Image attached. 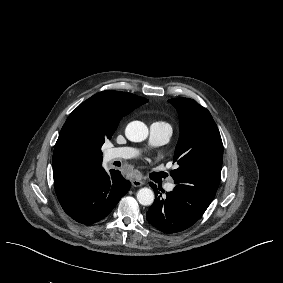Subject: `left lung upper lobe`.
<instances>
[{"label":"left lung upper lobe","mask_w":283,"mask_h":283,"mask_svg":"<svg viewBox=\"0 0 283 283\" xmlns=\"http://www.w3.org/2000/svg\"><path fill=\"white\" fill-rule=\"evenodd\" d=\"M177 109L180 137L171 171L176 186L210 204L220 182L223 144L210 112L189 98L168 100Z\"/></svg>","instance_id":"1"}]
</instances>
